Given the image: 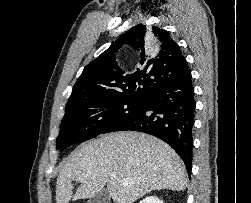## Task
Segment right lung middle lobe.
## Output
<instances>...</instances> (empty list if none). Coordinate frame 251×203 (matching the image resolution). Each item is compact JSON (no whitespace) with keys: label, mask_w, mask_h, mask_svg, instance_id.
<instances>
[{"label":"right lung middle lobe","mask_w":251,"mask_h":203,"mask_svg":"<svg viewBox=\"0 0 251 203\" xmlns=\"http://www.w3.org/2000/svg\"><path fill=\"white\" fill-rule=\"evenodd\" d=\"M144 100L125 98L90 100L66 106L56 139L58 150L112 132L122 121L136 113Z\"/></svg>","instance_id":"dd1d6c3e"}]
</instances>
